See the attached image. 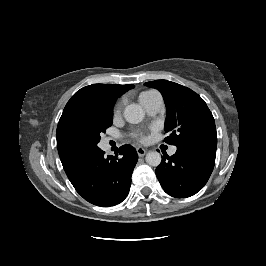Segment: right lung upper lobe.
I'll use <instances>...</instances> for the list:
<instances>
[{
	"mask_svg": "<svg viewBox=\"0 0 266 266\" xmlns=\"http://www.w3.org/2000/svg\"><path fill=\"white\" fill-rule=\"evenodd\" d=\"M132 88L131 84H93L78 90L66 104L56 139L60 160L71 183L81 175L94 154L74 150L67 141L69 131L96 111L113 107L116 99Z\"/></svg>",
	"mask_w": 266,
	"mask_h": 266,
	"instance_id": "1",
	"label": "right lung upper lobe"
}]
</instances>
